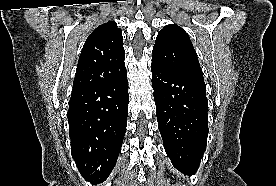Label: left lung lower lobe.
Returning <instances> with one entry per match:
<instances>
[{"label":"left lung lower lobe","mask_w":276,"mask_h":186,"mask_svg":"<svg viewBox=\"0 0 276 186\" xmlns=\"http://www.w3.org/2000/svg\"><path fill=\"white\" fill-rule=\"evenodd\" d=\"M151 68L164 148L173 166L191 176L206 151L209 131L205 82L153 63Z\"/></svg>","instance_id":"obj_1"}]
</instances>
